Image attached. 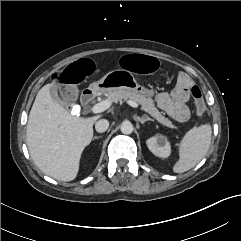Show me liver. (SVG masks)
<instances>
[{
    "label": "liver",
    "instance_id": "1",
    "mask_svg": "<svg viewBox=\"0 0 241 241\" xmlns=\"http://www.w3.org/2000/svg\"><path fill=\"white\" fill-rule=\"evenodd\" d=\"M51 85H44L37 93L28 118L26 142L32 160L44 174L67 182L78 174L81 154L92 140L99 116L72 115L52 98Z\"/></svg>",
    "mask_w": 241,
    "mask_h": 241
}]
</instances>
